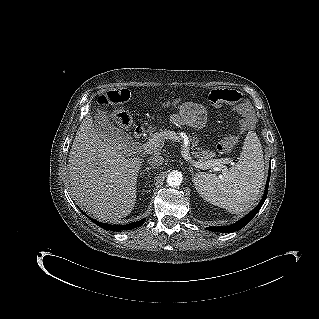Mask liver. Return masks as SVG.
<instances>
[{"label": "liver", "instance_id": "obj_1", "mask_svg": "<svg viewBox=\"0 0 319 319\" xmlns=\"http://www.w3.org/2000/svg\"><path fill=\"white\" fill-rule=\"evenodd\" d=\"M130 156L99 133L91 115L85 116L71 146L68 168L73 195L87 212L103 220L132 212L143 159Z\"/></svg>", "mask_w": 319, "mask_h": 319}]
</instances>
